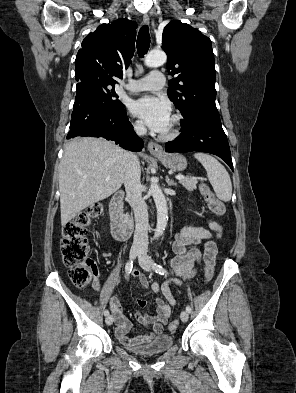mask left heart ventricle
I'll use <instances>...</instances> for the list:
<instances>
[{"label":"left heart ventricle","instance_id":"left-heart-ventricle-1","mask_svg":"<svg viewBox=\"0 0 296 393\" xmlns=\"http://www.w3.org/2000/svg\"><path fill=\"white\" fill-rule=\"evenodd\" d=\"M171 126H172V119H170V122H169L167 128L162 133L168 132L171 129Z\"/></svg>","mask_w":296,"mask_h":393}]
</instances>
